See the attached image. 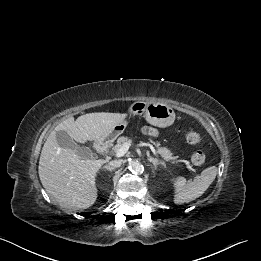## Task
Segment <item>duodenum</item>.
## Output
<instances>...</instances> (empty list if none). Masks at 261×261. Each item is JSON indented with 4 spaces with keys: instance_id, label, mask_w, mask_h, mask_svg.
<instances>
[{
    "instance_id": "obj_1",
    "label": "duodenum",
    "mask_w": 261,
    "mask_h": 261,
    "mask_svg": "<svg viewBox=\"0 0 261 261\" xmlns=\"http://www.w3.org/2000/svg\"><path fill=\"white\" fill-rule=\"evenodd\" d=\"M107 147H108V143L105 142V141H102V142H97L95 144V150L100 153V154H104L107 150Z\"/></svg>"
}]
</instances>
